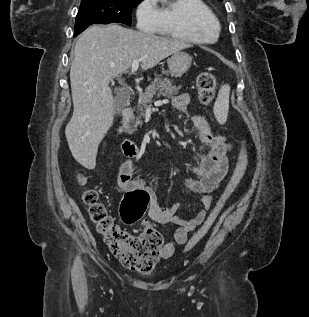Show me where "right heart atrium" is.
Instances as JSON below:
<instances>
[{"label":"right heart atrium","mask_w":309,"mask_h":317,"mask_svg":"<svg viewBox=\"0 0 309 317\" xmlns=\"http://www.w3.org/2000/svg\"><path fill=\"white\" fill-rule=\"evenodd\" d=\"M136 19L140 29L155 30L160 23L157 0H141L136 7Z\"/></svg>","instance_id":"d8ad5b80"}]
</instances>
